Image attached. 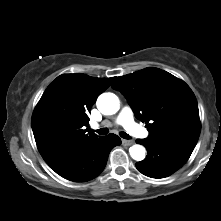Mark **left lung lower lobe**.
Instances as JSON below:
<instances>
[{
	"label": "left lung lower lobe",
	"mask_w": 221,
	"mask_h": 221,
	"mask_svg": "<svg viewBox=\"0 0 221 221\" xmlns=\"http://www.w3.org/2000/svg\"><path fill=\"white\" fill-rule=\"evenodd\" d=\"M198 139L180 137L161 141L138 139L146 147L148 155L136 163V168L151 178H164L182 167L189 159Z\"/></svg>",
	"instance_id": "1"
}]
</instances>
